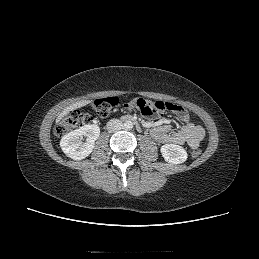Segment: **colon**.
<instances>
[{"mask_svg":"<svg viewBox=\"0 0 259 259\" xmlns=\"http://www.w3.org/2000/svg\"><path fill=\"white\" fill-rule=\"evenodd\" d=\"M118 105L117 97H107L97 99L92 103V108L95 113L100 117H106L113 112ZM125 107L127 109L137 108L142 115L146 117L160 116L167 110H174L175 104L163 101H149L144 98L138 97L128 102ZM93 122V117L89 114L74 110L68 113L57 125L56 133L59 136L65 135L68 132L79 127L89 125ZM201 154L199 149H194L191 153L192 157L197 158Z\"/></svg>","mask_w":259,"mask_h":259,"instance_id":"5ec220e1","label":"colon"}]
</instances>
